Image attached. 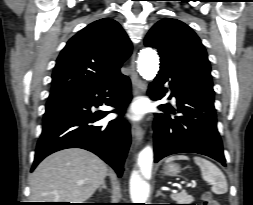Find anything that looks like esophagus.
<instances>
[{"instance_id": "obj_1", "label": "esophagus", "mask_w": 253, "mask_h": 205, "mask_svg": "<svg viewBox=\"0 0 253 205\" xmlns=\"http://www.w3.org/2000/svg\"><path fill=\"white\" fill-rule=\"evenodd\" d=\"M131 81L133 86V95L136 97L142 94L145 85L135 69V53L131 59ZM131 133L134 143L139 144L142 141L144 133L142 127L137 123H133L131 127Z\"/></svg>"}]
</instances>
